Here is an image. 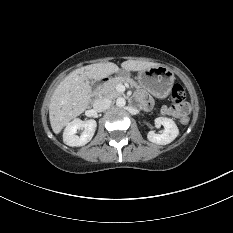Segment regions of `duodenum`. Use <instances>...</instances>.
<instances>
[{
  "label": "duodenum",
  "mask_w": 233,
  "mask_h": 233,
  "mask_svg": "<svg viewBox=\"0 0 233 233\" xmlns=\"http://www.w3.org/2000/svg\"><path fill=\"white\" fill-rule=\"evenodd\" d=\"M107 81H108L107 77L102 78V79H100V80H98V81L95 82V87L97 88V87L101 86L103 83H105Z\"/></svg>",
  "instance_id": "duodenum-1"
}]
</instances>
